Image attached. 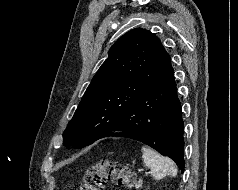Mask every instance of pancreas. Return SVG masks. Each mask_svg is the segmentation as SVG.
<instances>
[{
    "label": "pancreas",
    "instance_id": "cf45deb5",
    "mask_svg": "<svg viewBox=\"0 0 238 190\" xmlns=\"http://www.w3.org/2000/svg\"><path fill=\"white\" fill-rule=\"evenodd\" d=\"M142 185V180H139L138 183L136 184V187L139 188Z\"/></svg>",
    "mask_w": 238,
    "mask_h": 190
}]
</instances>
